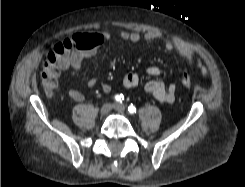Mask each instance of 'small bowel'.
Instances as JSON below:
<instances>
[{"label":"small bowel","mask_w":245,"mask_h":187,"mask_svg":"<svg viewBox=\"0 0 245 187\" xmlns=\"http://www.w3.org/2000/svg\"><path fill=\"white\" fill-rule=\"evenodd\" d=\"M121 39L131 42H138L140 40L145 41H156L162 38V34L158 31H147L141 34L138 31H128L122 30L119 33ZM111 39V34L109 32H97L87 35L83 39V48L81 51L72 52L66 61L62 62L59 65V70L65 71L68 69L81 70L84 64V61L91 55L94 54L97 47L105 41ZM164 47L167 51H176L179 53L185 60L190 63H194L198 69L202 72L203 75H207L208 71L206 66L202 63V60L196 50L189 47L187 44L178 41V40H167L164 43ZM147 74L149 76L155 77L160 74V68L158 66H150L147 69ZM140 78L139 75L133 72L127 73L122 80V84L126 88H133L139 84ZM96 81L91 79L89 81V86L94 87ZM101 89L104 92L111 91V85L102 84ZM177 89V84L172 83L169 86H166L163 82L158 80H151L146 83L145 91L148 95L155 98L160 103H172L175 100V93ZM68 95L71 99L75 101H83L84 95L76 90L70 89Z\"/></svg>","instance_id":"c3829d8e"}]
</instances>
